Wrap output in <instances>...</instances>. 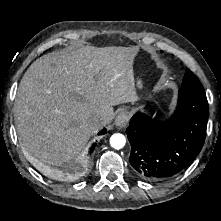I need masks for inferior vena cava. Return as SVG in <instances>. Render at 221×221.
I'll return each mask as SVG.
<instances>
[{
  "label": "inferior vena cava",
  "mask_w": 221,
  "mask_h": 221,
  "mask_svg": "<svg viewBox=\"0 0 221 221\" xmlns=\"http://www.w3.org/2000/svg\"><path fill=\"white\" fill-rule=\"evenodd\" d=\"M89 124L94 130H99L104 124V118L99 114L94 115L90 118Z\"/></svg>",
  "instance_id": "1"
}]
</instances>
